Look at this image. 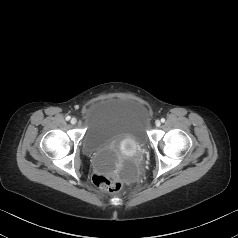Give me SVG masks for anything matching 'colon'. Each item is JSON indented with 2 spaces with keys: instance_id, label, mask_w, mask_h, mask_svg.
<instances>
[{
  "instance_id": "5ec220e1",
  "label": "colon",
  "mask_w": 238,
  "mask_h": 238,
  "mask_svg": "<svg viewBox=\"0 0 238 238\" xmlns=\"http://www.w3.org/2000/svg\"><path fill=\"white\" fill-rule=\"evenodd\" d=\"M92 181L97 187L109 192H116L122 187L120 178L115 175H108L100 172L93 174Z\"/></svg>"
}]
</instances>
